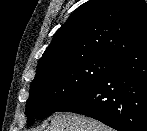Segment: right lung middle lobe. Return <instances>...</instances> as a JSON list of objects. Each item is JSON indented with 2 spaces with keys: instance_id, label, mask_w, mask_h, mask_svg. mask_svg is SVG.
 <instances>
[{
  "instance_id": "obj_1",
  "label": "right lung middle lobe",
  "mask_w": 147,
  "mask_h": 131,
  "mask_svg": "<svg viewBox=\"0 0 147 131\" xmlns=\"http://www.w3.org/2000/svg\"><path fill=\"white\" fill-rule=\"evenodd\" d=\"M117 61L90 57L71 61L35 75L26 102L27 122L59 111L100 81Z\"/></svg>"
}]
</instances>
